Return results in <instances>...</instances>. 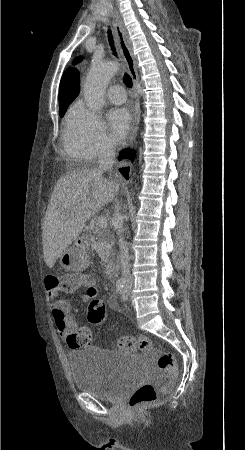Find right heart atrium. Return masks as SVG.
Instances as JSON below:
<instances>
[{"label":"right heart atrium","instance_id":"d8ad5b80","mask_svg":"<svg viewBox=\"0 0 245 450\" xmlns=\"http://www.w3.org/2000/svg\"><path fill=\"white\" fill-rule=\"evenodd\" d=\"M114 144L96 113L82 102L74 104L66 117L64 151L82 161L110 154Z\"/></svg>","mask_w":245,"mask_h":450}]
</instances>
